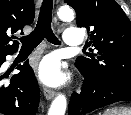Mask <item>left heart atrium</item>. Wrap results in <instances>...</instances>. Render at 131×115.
Segmentation results:
<instances>
[{"instance_id": "left-heart-atrium-1", "label": "left heart atrium", "mask_w": 131, "mask_h": 115, "mask_svg": "<svg viewBox=\"0 0 131 115\" xmlns=\"http://www.w3.org/2000/svg\"><path fill=\"white\" fill-rule=\"evenodd\" d=\"M40 79L50 85H57L63 80V74L57 60L45 59L39 67Z\"/></svg>"}]
</instances>
